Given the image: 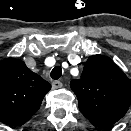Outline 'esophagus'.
Wrapping results in <instances>:
<instances>
[{"mask_svg":"<svg viewBox=\"0 0 131 131\" xmlns=\"http://www.w3.org/2000/svg\"><path fill=\"white\" fill-rule=\"evenodd\" d=\"M62 86H63V83L59 80L53 81V83H52L53 89H58V88H61Z\"/></svg>","mask_w":131,"mask_h":131,"instance_id":"esophagus-1","label":"esophagus"}]
</instances>
